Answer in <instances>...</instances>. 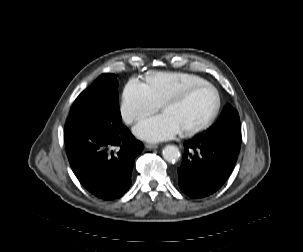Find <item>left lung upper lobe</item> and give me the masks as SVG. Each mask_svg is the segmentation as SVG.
<instances>
[{"instance_id": "5c2ea615", "label": "left lung upper lobe", "mask_w": 303, "mask_h": 252, "mask_svg": "<svg viewBox=\"0 0 303 252\" xmlns=\"http://www.w3.org/2000/svg\"><path fill=\"white\" fill-rule=\"evenodd\" d=\"M210 140L241 141V127L238 112L227 105L215 125L201 135Z\"/></svg>"}]
</instances>
